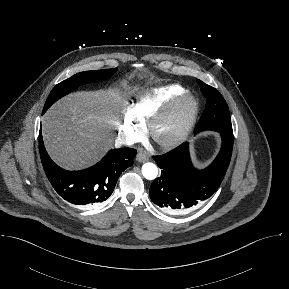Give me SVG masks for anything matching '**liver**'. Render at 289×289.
Returning a JSON list of instances; mask_svg holds the SVG:
<instances>
[{
	"label": "liver",
	"instance_id": "obj_1",
	"mask_svg": "<svg viewBox=\"0 0 289 289\" xmlns=\"http://www.w3.org/2000/svg\"><path fill=\"white\" fill-rule=\"evenodd\" d=\"M123 80L113 88L80 91L56 102L42 118L44 144L51 158L67 170L86 168L112 145L120 119Z\"/></svg>",
	"mask_w": 289,
	"mask_h": 289
}]
</instances>
